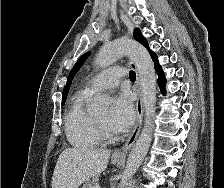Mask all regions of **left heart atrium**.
Here are the masks:
<instances>
[{"label":"left heart atrium","mask_w":224,"mask_h":188,"mask_svg":"<svg viewBox=\"0 0 224 188\" xmlns=\"http://www.w3.org/2000/svg\"><path fill=\"white\" fill-rule=\"evenodd\" d=\"M135 119L132 95L128 91L120 92L113 101L109 113V125L115 132H122L129 128Z\"/></svg>","instance_id":"obj_1"}]
</instances>
